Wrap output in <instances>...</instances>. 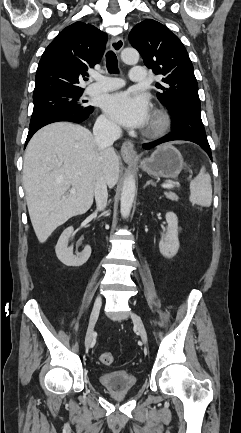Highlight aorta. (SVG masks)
I'll return each instance as SVG.
<instances>
[{
	"mask_svg": "<svg viewBox=\"0 0 241 433\" xmlns=\"http://www.w3.org/2000/svg\"><path fill=\"white\" fill-rule=\"evenodd\" d=\"M121 59L126 64H136L139 61V53L132 48H126L121 52ZM136 193V182L133 175L129 174L123 183L121 192L120 211L126 218L129 216Z\"/></svg>",
	"mask_w": 241,
	"mask_h": 433,
	"instance_id": "762f6f07",
	"label": "aorta"
}]
</instances>
